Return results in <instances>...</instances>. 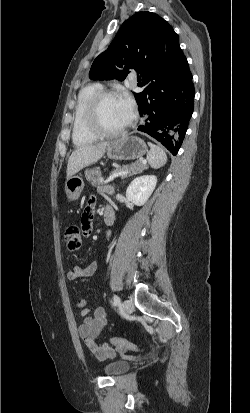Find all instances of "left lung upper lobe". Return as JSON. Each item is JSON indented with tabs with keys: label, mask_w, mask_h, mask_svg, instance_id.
Masks as SVG:
<instances>
[{
	"label": "left lung upper lobe",
	"mask_w": 250,
	"mask_h": 413,
	"mask_svg": "<svg viewBox=\"0 0 250 413\" xmlns=\"http://www.w3.org/2000/svg\"><path fill=\"white\" fill-rule=\"evenodd\" d=\"M175 36L172 27L157 14L138 12L123 23L107 50L94 60L89 76L93 80L123 81L136 70L141 86V81L159 66V41Z\"/></svg>",
	"instance_id": "5c2ea615"
}]
</instances>
